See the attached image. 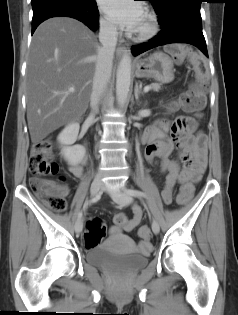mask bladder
Listing matches in <instances>:
<instances>
[{
	"mask_svg": "<svg viewBox=\"0 0 238 315\" xmlns=\"http://www.w3.org/2000/svg\"><path fill=\"white\" fill-rule=\"evenodd\" d=\"M101 249L112 248H94L92 246L86 253L87 263L99 267L116 266L126 270H135L144 267L150 255V251H148L137 253L136 256H101Z\"/></svg>",
	"mask_w": 238,
	"mask_h": 315,
	"instance_id": "31cf9c89",
	"label": "bladder"
}]
</instances>
